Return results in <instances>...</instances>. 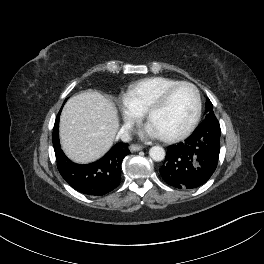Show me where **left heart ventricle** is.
I'll list each match as a JSON object with an SVG mask.
<instances>
[{
  "label": "left heart ventricle",
  "mask_w": 264,
  "mask_h": 264,
  "mask_svg": "<svg viewBox=\"0 0 264 264\" xmlns=\"http://www.w3.org/2000/svg\"><path fill=\"white\" fill-rule=\"evenodd\" d=\"M196 98L192 88L181 86L170 96L167 104L156 111L149 120L159 135H173L184 130L192 120Z\"/></svg>",
  "instance_id": "1"
}]
</instances>
